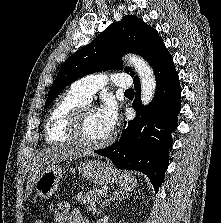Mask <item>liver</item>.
<instances>
[{
  "label": "liver",
  "mask_w": 221,
  "mask_h": 223,
  "mask_svg": "<svg viewBox=\"0 0 221 223\" xmlns=\"http://www.w3.org/2000/svg\"><path fill=\"white\" fill-rule=\"evenodd\" d=\"M89 152L78 147L66 146L64 144L54 145L43 149L39 152L34 160L33 172L30 174L26 187V196L30 195V191L37 179L39 173L57 162L76 159L88 155Z\"/></svg>",
  "instance_id": "obj_1"
}]
</instances>
